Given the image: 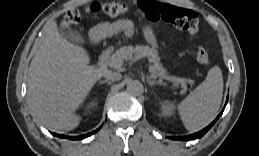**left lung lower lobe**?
Masks as SVG:
<instances>
[{
	"mask_svg": "<svg viewBox=\"0 0 259 156\" xmlns=\"http://www.w3.org/2000/svg\"><path fill=\"white\" fill-rule=\"evenodd\" d=\"M227 101H228V99H227ZM227 101H226V104H227ZM226 104H225V106H226ZM222 113H223V111L218 115V117L209 126L204 128L200 132H197V133L189 135V136L178 137V138H174V139L182 140V141H184V140L188 141V140H193V139L201 138L215 124V122L218 120V118L221 116Z\"/></svg>",
	"mask_w": 259,
	"mask_h": 156,
	"instance_id": "0a47b994",
	"label": "left lung lower lobe"
}]
</instances>
